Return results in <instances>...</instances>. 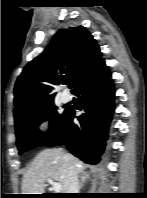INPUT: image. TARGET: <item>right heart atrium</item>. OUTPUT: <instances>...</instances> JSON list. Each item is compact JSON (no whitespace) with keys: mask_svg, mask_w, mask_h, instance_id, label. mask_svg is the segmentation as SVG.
Listing matches in <instances>:
<instances>
[{"mask_svg":"<svg viewBox=\"0 0 147 198\" xmlns=\"http://www.w3.org/2000/svg\"><path fill=\"white\" fill-rule=\"evenodd\" d=\"M50 127V123L47 119H41L37 124V131L41 135H45L48 133Z\"/></svg>","mask_w":147,"mask_h":198,"instance_id":"d8ad5b80","label":"right heart atrium"}]
</instances>
